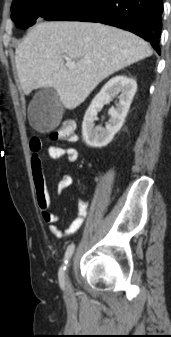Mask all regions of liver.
Masks as SVG:
<instances>
[{
	"label": "liver",
	"instance_id": "liver-1",
	"mask_svg": "<svg viewBox=\"0 0 171 337\" xmlns=\"http://www.w3.org/2000/svg\"><path fill=\"white\" fill-rule=\"evenodd\" d=\"M152 55L137 35L108 25L53 21L36 25L18 45L15 63L24 94L53 88L75 109L106 77ZM65 58L75 63L70 69Z\"/></svg>",
	"mask_w": 171,
	"mask_h": 337
}]
</instances>
